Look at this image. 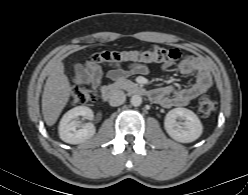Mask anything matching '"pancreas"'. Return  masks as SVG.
I'll return each mask as SVG.
<instances>
[{
	"mask_svg": "<svg viewBox=\"0 0 248 195\" xmlns=\"http://www.w3.org/2000/svg\"><path fill=\"white\" fill-rule=\"evenodd\" d=\"M121 82L125 84V83H129L130 81L122 80Z\"/></svg>",
	"mask_w": 248,
	"mask_h": 195,
	"instance_id": "cf45deb5",
	"label": "pancreas"
}]
</instances>
